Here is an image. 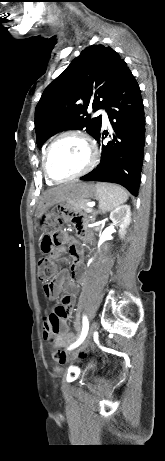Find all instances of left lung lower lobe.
Returning <instances> with one entry per match:
<instances>
[{
	"mask_svg": "<svg viewBox=\"0 0 165 461\" xmlns=\"http://www.w3.org/2000/svg\"><path fill=\"white\" fill-rule=\"evenodd\" d=\"M143 107L139 85L128 68L105 107L113 140L102 146L100 164L81 180L117 183L138 195L145 145ZM103 138L100 132L95 139L100 143Z\"/></svg>",
	"mask_w": 165,
	"mask_h": 461,
	"instance_id": "left-lung-lower-lobe-1",
	"label": "left lung lower lobe"
}]
</instances>
